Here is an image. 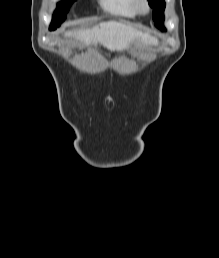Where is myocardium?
<instances>
[{"mask_svg": "<svg viewBox=\"0 0 219 258\" xmlns=\"http://www.w3.org/2000/svg\"><path fill=\"white\" fill-rule=\"evenodd\" d=\"M136 5L139 13L147 14L151 10V5L148 0H136Z\"/></svg>", "mask_w": 219, "mask_h": 258, "instance_id": "1", "label": "myocardium"}]
</instances>
